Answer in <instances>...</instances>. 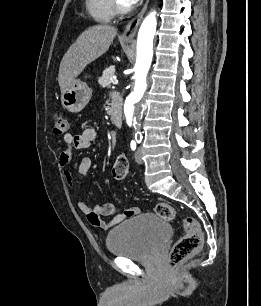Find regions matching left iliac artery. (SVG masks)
Wrapping results in <instances>:
<instances>
[{
	"mask_svg": "<svg viewBox=\"0 0 261 306\" xmlns=\"http://www.w3.org/2000/svg\"><path fill=\"white\" fill-rule=\"evenodd\" d=\"M135 139H136L137 143H140L141 140H142V136L139 135V134H135ZM130 146H131L132 150H135L136 149V142L134 140H132Z\"/></svg>",
	"mask_w": 261,
	"mask_h": 306,
	"instance_id": "left-iliac-artery-1",
	"label": "left iliac artery"
}]
</instances>
